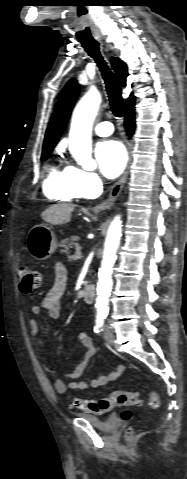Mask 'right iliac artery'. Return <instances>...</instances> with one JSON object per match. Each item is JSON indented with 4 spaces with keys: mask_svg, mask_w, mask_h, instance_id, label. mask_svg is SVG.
I'll use <instances>...</instances> for the list:
<instances>
[{
    "mask_svg": "<svg viewBox=\"0 0 187 479\" xmlns=\"http://www.w3.org/2000/svg\"><path fill=\"white\" fill-rule=\"evenodd\" d=\"M104 316H98L96 319V325L94 327V332L95 333H100L103 330V324H104Z\"/></svg>",
    "mask_w": 187,
    "mask_h": 479,
    "instance_id": "obj_1",
    "label": "right iliac artery"
}]
</instances>
